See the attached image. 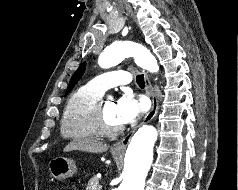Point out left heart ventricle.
<instances>
[{
	"instance_id": "obj_1",
	"label": "left heart ventricle",
	"mask_w": 238,
	"mask_h": 190,
	"mask_svg": "<svg viewBox=\"0 0 238 190\" xmlns=\"http://www.w3.org/2000/svg\"><path fill=\"white\" fill-rule=\"evenodd\" d=\"M116 102L113 100H106L104 102V112L106 119L109 124L113 126H119L122 125V123L119 121L117 117V108H116Z\"/></svg>"
}]
</instances>
